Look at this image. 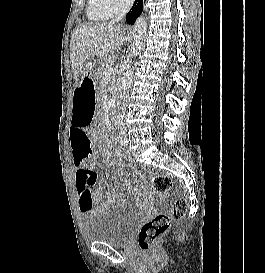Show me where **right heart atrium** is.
<instances>
[{"label": "right heart atrium", "instance_id": "obj_1", "mask_svg": "<svg viewBox=\"0 0 265 273\" xmlns=\"http://www.w3.org/2000/svg\"><path fill=\"white\" fill-rule=\"evenodd\" d=\"M133 0H99L100 4L112 15L125 12Z\"/></svg>", "mask_w": 265, "mask_h": 273}]
</instances>
